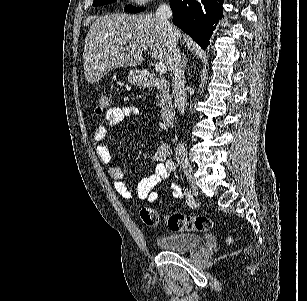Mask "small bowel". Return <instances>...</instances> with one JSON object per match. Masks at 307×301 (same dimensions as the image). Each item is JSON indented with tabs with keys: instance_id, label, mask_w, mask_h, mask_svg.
<instances>
[{
	"instance_id": "1",
	"label": "small bowel",
	"mask_w": 307,
	"mask_h": 301,
	"mask_svg": "<svg viewBox=\"0 0 307 301\" xmlns=\"http://www.w3.org/2000/svg\"><path fill=\"white\" fill-rule=\"evenodd\" d=\"M138 114L139 110L135 106H114L110 108L105 115L104 121L98 125L94 132V142L97 154L107 166L108 174L113 180L118 194L125 199L138 198L154 202L159 196L158 186L169 177V169L164 163L168 156V147L166 145L158 147L153 155V161L156 162L153 173L140 181L136 193H134L123 181V169L121 166L112 163L111 153L106 144L108 129L118 126L128 117ZM170 190L173 198H182L183 193L179 185L173 183Z\"/></svg>"
}]
</instances>
